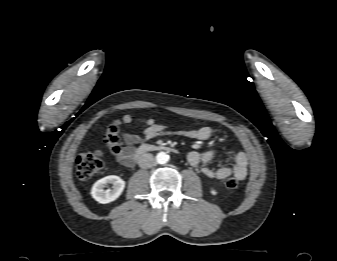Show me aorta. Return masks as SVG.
Wrapping results in <instances>:
<instances>
[{
    "label": "aorta",
    "instance_id": "obj_1",
    "mask_svg": "<svg viewBox=\"0 0 337 261\" xmlns=\"http://www.w3.org/2000/svg\"><path fill=\"white\" fill-rule=\"evenodd\" d=\"M156 161L158 164H166L169 161V155L166 152H159L156 155Z\"/></svg>",
    "mask_w": 337,
    "mask_h": 261
}]
</instances>
